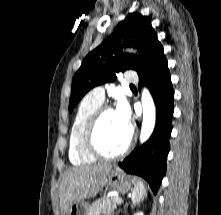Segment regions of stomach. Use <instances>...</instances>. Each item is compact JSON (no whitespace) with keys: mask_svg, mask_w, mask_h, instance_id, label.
<instances>
[{"mask_svg":"<svg viewBox=\"0 0 221 215\" xmlns=\"http://www.w3.org/2000/svg\"><path fill=\"white\" fill-rule=\"evenodd\" d=\"M106 183L115 191L127 193L132 190L134 178L131 179L123 171L115 168L108 173ZM63 215H88V204L84 201L75 202Z\"/></svg>","mask_w":221,"mask_h":215,"instance_id":"obj_1","label":"stomach"}]
</instances>
